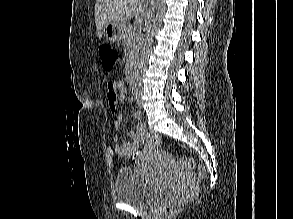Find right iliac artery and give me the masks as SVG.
Wrapping results in <instances>:
<instances>
[{
    "mask_svg": "<svg viewBox=\"0 0 293 219\" xmlns=\"http://www.w3.org/2000/svg\"><path fill=\"white\" fill-rule=\"evenodd\" d=\"M134 116H135V118L138 119V120H140V119L142 118V114H141L140 111H136V112L134 113Z\"/></svg>",
    "mask_w": 293,
    "mask_h": 219,
    "instance_id": "82829eb1",
    "label": "right iliac artery"
}]
</instances>
